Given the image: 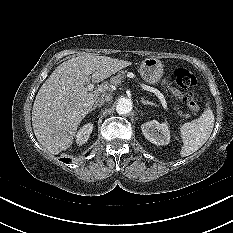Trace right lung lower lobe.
Masks as SVG:
<instances>
[{
    "label": "right lung lower lobe",
    "mask_w": 233,
    "mask_h": 233,
    "mask_svg": "<svg viewBox=\"0 0 233 233\" xmlns=\"http://www.w3.org/2000/svg\"><path fill=\"white\" fill-rule=\"evenodd\" d=\"M71 159L69 158H62L61 161L64 163H69Z\"/></svg>",
    "instance_id": "98d812e1"
}]
</instances>
